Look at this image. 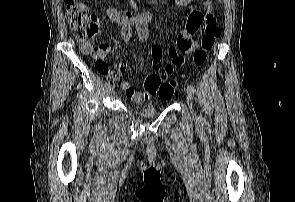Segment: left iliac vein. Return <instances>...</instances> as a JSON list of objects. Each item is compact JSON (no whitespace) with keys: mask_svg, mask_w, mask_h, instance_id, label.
Masks as SVG:
<instances>
[{"mask_svg":"<svg viewBox=\"0 0 295 202\" xmlns=\"http://www.w3.org/2000/svg\"><path fill=\"white\" fill-rule=\"evenodd\" d=\"M186 99H187L188 104L190 105L192 113H194V111H193V96H192V93H190L189 91H187Z\"/></svg>","mask_w":295,"mask_h":202,"instance_id":"4c4485c4","label":"left iliac vein"}]
</instances>
